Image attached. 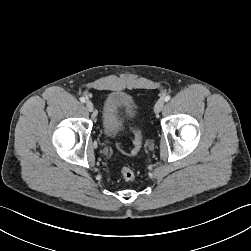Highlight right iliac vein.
<instances>
[{
    "label": "right iliac vein",
    "instance_id": "obj_1",
    "mask_svg": "<svg viewBox=\"0 0 251 251\" xmlns=\"http://www.w3.org/2000/svg\"><path fill=\"white\" fill-rule=\"evenodd\" d=\"M86 108H87V110L88 111H90V112H92L93 111V109H94V106H93V103L91 102V101H86Z\"/></svg>",
    "mask_w": 251,
    "mask_h": 251
}]
</instances>
